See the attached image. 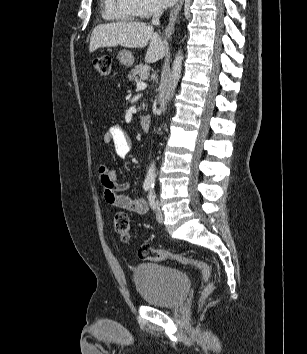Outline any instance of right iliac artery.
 I'll return each mask as SVG.
<instances>
[{"instance_id":"right-iliac-artery-1","label":"right iliac artery","mask_w":307,"mask_h":354,"mask_svg":"<svg viewBox=\"0 0 307 354\" xmlns=\"http://www.w3.org/2000/svg\"><path fill=\"white\" fill-rule=\"evenodd\" d=\"M144 190L147 191L151 188V185L150 184H144Z\"/></svg>"}]
</instances>
